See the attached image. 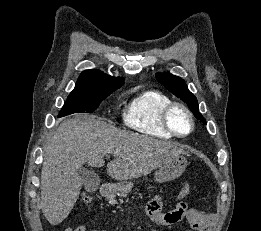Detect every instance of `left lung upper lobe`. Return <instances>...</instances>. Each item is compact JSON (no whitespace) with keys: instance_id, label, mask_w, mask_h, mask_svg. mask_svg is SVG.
<instances>
[{"instance_id":"obj_1","label":"left lung upper lobe","mask_w":261,"mask_h":231,"mask_svg":"<svg viewBox=\"0 0 261 231\" xmlns=\"http://www.w3.org/2000/svg\"><path fill=\"white\" fill-rule=\"evenodd\" d=\"M157 80L164 85L170 92L188 104L194 116L206 124V120L199 112L196 97L188 90L184 80L168 72L156 74Z\"/></svg>"}]
</instances>
